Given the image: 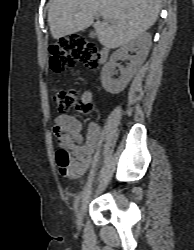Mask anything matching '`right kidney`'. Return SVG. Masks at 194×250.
<instances>
[{
  "label": "right kidney",
  "mask_w": 194,
  "mask_h": 250,
  "mask_svg": "<svg viewBox=\"0 0 194 250\" xmlns=\"http://www.w3.org/2000/svg\"><path fill=\"white\" fill-rule=\"evenodd\" d=\"M151 47V35L142 33L126 45L116 50L110 57L109 62L103 67L101 73V83L103 88L111 93L118 94L124 90L137 69L145 61ZM128 52H136L135 56H129ZM120 59H129L130 63L126 68L121 69V75L118 79H113V69L116 62Z\"/></svg>",
  "instance_id": "right-kidney-1"
}]
</instances>
